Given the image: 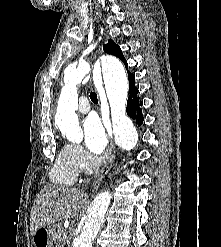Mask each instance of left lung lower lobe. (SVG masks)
Masks as SVG:
<instances>
[{"label":"left lung lower lobe","instance_id":"1","mask_svg":"<svg viewBox=\"0 0 221 247\" xmlns=\"http://www.w3.org/2000/svg\"><path fill=\"white\" fill-rule=\"evenodd\" d=\"M137 94L138 88L135 86V76L131 75L129 76V96L126 112L140 126L142 125L144 118L142 115V109L140 108L142 106V101L139 100Z\"/></svg>","mask_w":221,"mask_h":247}]
</instances>
